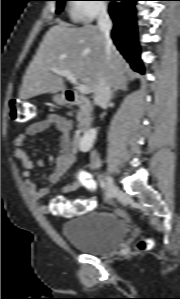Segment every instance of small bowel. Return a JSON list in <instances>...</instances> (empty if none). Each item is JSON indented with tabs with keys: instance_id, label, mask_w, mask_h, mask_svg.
<instances>
[{
	"instance_id": "obj_1",
	"label": "small bowel",
	"mask_w": 180,
	"mask_h": 299,
	"mask_svg": "<svg viewBox=\"0 0 180 299\" xmlns=\"http://www.w3.org/2000/svg\"><path fill=\"white\" fill-rule=\"evenodd\" d=\"M51 127H54L60 134L61 149L55 159L56 165L54 172L49 178L51 185L56 184L77 160V153L72 143V122L62 115L49 114L44 119L27 126L25 130L17 135L13 140V144L15 146V157L20 161L24 168L23 177L26 192L29 198L38 204V208L42 213L50 212V206L41 203V199L50 192V187L38 188L32 179L31 171L36 165L39 167L43 166L44 162L40 159L36 162L31 160L22 145L28 137L38 135ZM90 166L92 169L99 168V160L97 158H92ZM84 183L85 179L77 176L63 186L62 192L63 194H70L79 189Z\"/></svg>"
}]
</instances>
